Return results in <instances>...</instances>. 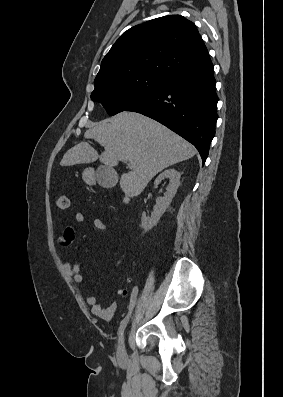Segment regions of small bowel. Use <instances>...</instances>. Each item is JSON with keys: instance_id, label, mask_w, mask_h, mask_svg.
Returning <instances> with one entry per match:
<instances>
[{"instance_id": "1", "label": "small bowel", "mask_w": 283, "mask_h": 397, "mask_svg": "<svg viewBox=\"0 0 283 397\" xmlns=\"http://www.w3.org/2000/svg\"><path fill=\"white\" fill-rule=\"evenodd\" d=\"M75 220L79 224H84L86 222V216L82 212H77L75 215ZM93 225L99 231L104 232L107 230V225L99 217L94 218ZM75 237L76 232L74 227L72 225H67L64 228L61 236L57 238V243L62 247H68L74 242ZM64 268L66 272L73 278L74 282L81 284L84 281V276L81 273V265L79 263H73L70 260H66L64 263ZM127 282H130V280ZM119 294L126 296L127 289H120ZM86 302L90 306L92 314L97 318L106 321H111L114 318L117 309L115 303H111L108 306H103L93 295H89L86 299Z\"/></svg>"}]
</instances>
